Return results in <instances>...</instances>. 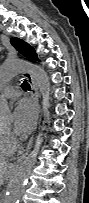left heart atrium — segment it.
<instances>
[{"label":"left heart atrium","mask_w":89,"mask_h":203,"mask_svg":"<svg viewBox=\"0 0 89 203\" xmlns=\"http://www.w3.org/2000/svg\"><path fill=\"white\" fill-rule=\"evenodd\" d=\"M35 122V109L27 100H21L14 111L15 132L20 137L27 136Z\"/></svg>","instance_id":"obj_1"}]
</instances>
